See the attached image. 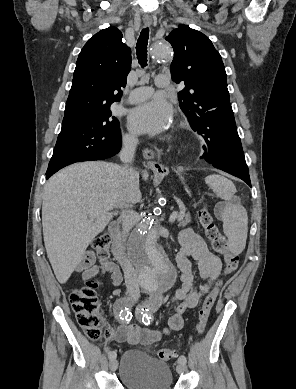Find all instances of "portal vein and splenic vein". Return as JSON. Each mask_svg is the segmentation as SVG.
I'll return each instance as SVG.
<instances>
[{
    "label": "portal vein and splenic vein",
    "mask_w": 296,
    "mask_h": 389,
    "mask_svg": "<svg viewBox=\"0 0 296 389\" xmlns=\"http://www.w3.org/2000/svg\"><path fill=\"white\" fill-rule=\"evenodd\" d=\"M177 217H178V212H177V211L173 212V213L170 215V217H169V222H170V223H173V222L176 220Z\"/></svg>",
    "instance_id": "obj_1"
}]
</instances>
